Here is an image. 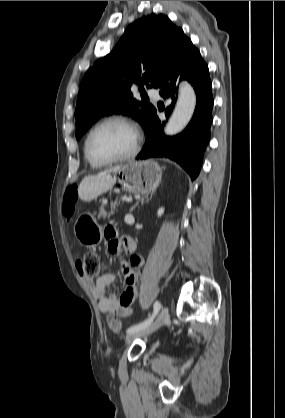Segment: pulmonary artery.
<instances>
[{
	"instance_id": "e3ab8cb5",
	"label": "pulmonary artery",
	"mask_w": 285,
	"mask_h": 418,
	"mask_svg": "<svg viewBox=\"0 0 285 418\" xmlns=\"http://www.w3.org/2000/svg\"><path fill=\"white\" fill-rule=\"evenodd\" d=\"M148 94H149L152 98H155V99H159V98L161 97V94H160L159 90H158V89H156V88H149V89H148Z\"/></svg>"
}]
</instances>
